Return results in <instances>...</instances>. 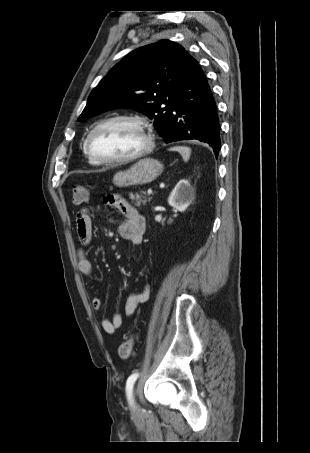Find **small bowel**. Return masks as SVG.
<instances>
[{
  "label": "small bowel",
  "instance_id": "1",
  "mask_svg": "<svg viewBox=\"0 0 310 453\" xmlns=\"http://www.w3.org/2000/svg\"><path fill=\"white\" fill-rule=\"evenodd\" d=\"M110 206L118 209L124 219L119 226L120 236L129 241L134 246H139L142 243L143 234L145 232L146 221L145 218L124 198L114 195L107 199ZM76 231L79 242L82 248L79 250V270L87 277L93 275V266L87 257L86 248L92 242V223L90 212L87 208H83L76 214ZM150 288L145 285L142 290L131 293L125 303V316H131L135 313L139 304L146 302L149 299ZM92 306L95 310L102 308V301L99 297L92 298ZM124 322V316L121 313H116L111 320H103L102 327L108 334H113L118 330Z\"/></svg>",
  "mask_w": 310,
  "mask_h": 453
}]
</instances>
